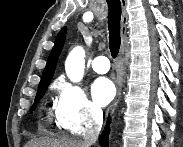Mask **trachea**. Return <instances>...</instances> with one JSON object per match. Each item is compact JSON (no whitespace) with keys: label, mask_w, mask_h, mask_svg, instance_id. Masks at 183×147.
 <instances>
[{"label":"trachea","mask_w":183,"mask_h":147,"mask_svg":"<svg viewBox=\"0 0 183 147\" xmlns=\"http://www.w3.org/2000/svg\"><path fill=\"white\" fill-rule=\"evenodd\" d=\"M108 4V30L110 52L113 58H116L121 44L120 37V20H121V3L119 0H107Z\"/></svg>","instance_id":"obj_1"}]
</instances>
